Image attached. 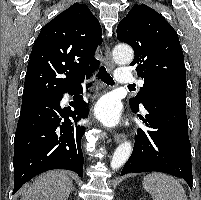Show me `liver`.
I'll return each mask as SVG.
<instances>
[{
  "instance_id": "liver-1",
  "label": "liver",
  "mask_w": 201,
  "mask_h": 200,
  "mask_svg": "<svg viewBox=\"0 0 201 200\" xmlns=\"http://www.w3.org/2000/svg\"><path fill=\"white\" fill-rule=\"evenodd\" d=\"M73 182L64 171H48L39 175L21 200H67Z\"/></svg>"
}]
</instances>
